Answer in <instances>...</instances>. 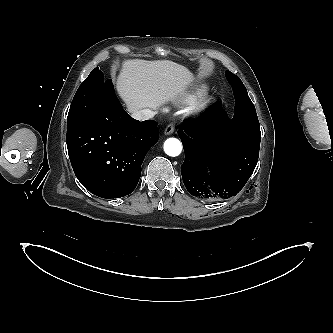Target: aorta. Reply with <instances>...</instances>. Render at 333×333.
I'll return each instance as SVG.
<instances>
[{"mask_svg": "<svg viewBox=\"0 0 333 333\" xmlns=\"http://www.w3.org/2000/svg\"><path fill=\"white\" fill-rule=\"evenodd\" d=\"M164 151L167 155L176 157V156L180 155V153L182 151V144L176 138H168L164 142Z\"/></svg>", "mask_w": 333, "mask_h": 333, "instance_id": "aorta-1", "label": "aorta"}]
</instances>
